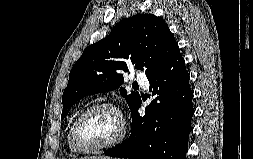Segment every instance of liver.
I'll use <instances>...</instances> for the list:
<instances>
[{
  "label": "liver",
  "instance_id": "1",
  "mask_svg": "<svg viewBox=\"0 0 253 159\" xmlns=\"http://www.w3.org/2000/svg\"><path fill=\"white\" fill-rule=\"evenodd\" d=\"M80 159H110V157H106V156H90V157H82Z\"/></svg>",
  "mask_w": 253,
  "mask_h": 159
}]
</instances>
